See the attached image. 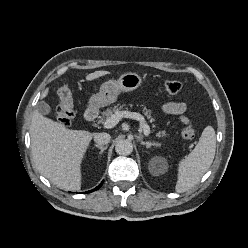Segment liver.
Masks as SVG:
<instances>
[{"mask_svg":"<svg viewBox=\"0 0 248 248\" xmlns=\"http://www.w3.org/2000/svg\"><path fill=\"white\" fill-rule=\"evenodd\" d=\"M95 71L86 76L92 81L109 74ZM46 89L42 97H46ZM94 134L85 130H71L34 111L31 125V153L38 171L51 183L65 190L81 187V162Z\"/></svg>","mask_w":248,"mask_h":248,"instance_id":"6515ba94","label":"liver"}]
</instances>
